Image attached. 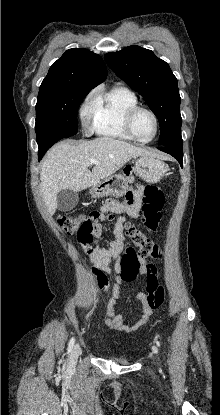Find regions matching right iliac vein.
I'll return each mask as SVG.
<instances>
[{"mask_svg": "<svg viewBox=\"0 0 220 415\" xmlns=\"http://www.w3.org/2000/svg\"><path fill=\"white\" fill-rule=\"evenodd\" d=\"M80 353H81L80 346H79V344H76L74 346L72 352H71V355H70V362L72 364H74L76 362V360H77L78 356L80 355Z\"/></svg>", "mask_w": 220, "mask_h": 415, "instance_id": "63e3f726", "label": "right iliac vein"}]
</instances>
